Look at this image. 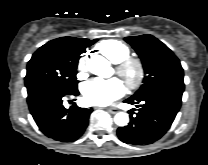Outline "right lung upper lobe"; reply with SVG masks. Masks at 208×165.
I'll list each match as a JSON object with an SVG mask.
<instances>
[{
    "label": "right lung upper lobe",
    "instance_id": "obj_1",
    "mask_svg": "<svg viewBox=\"0 0 208 165\" xmlns=\"http://www.w3.org/2000/svg\"><path fill=\"white\" fill-rule=\"evenodd\" d=\"M64 41L70 42V43H88V42H93L94 40H88V39H81V38H73V37H62L60 38Z\"/></svg>",
    "mask_w": 208,
    "mask_h": 165
}]
</instances>
